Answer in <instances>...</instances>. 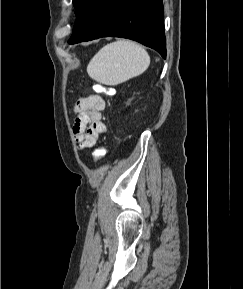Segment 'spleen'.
I'll list each match as a JSON object with an SVG mask.
<instances>
[{"label": "spleen", "mask_w": 243, "mask_h": 289, "mask_svg": "<svg viewBox=\"0 0 243 289\" xmlns=\"http://www.w3.org/2000/svg\"><path fill=\"white\" fill-rule=\"evenodd\" d=\"M149 65L150 57L142 46L118 40L105 45L94 55L87 73L99 83L115 86L142 74Z\"/></svg>", "instance_id": "obj_1"}]
</instances>
